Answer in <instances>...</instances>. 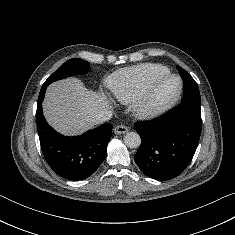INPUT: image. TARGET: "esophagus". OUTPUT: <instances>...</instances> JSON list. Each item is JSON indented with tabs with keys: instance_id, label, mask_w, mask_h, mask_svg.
<instances>
[{
	"instance_id": "1",
	"label": "esophagus",
	"mask_w": 235,
	"mask_h": 235,
	"mask_svg": "<svg viewBox=\"0 0 235 235\" xmlns=\"http://www.w3.org/2000/svg\"><path fill=\"white\" fill-rule=\"evenodd\" d=\"M129 130V128L125 125H117L115 128H114V133L115 134H125L127 133Z\"/></svg>"
}]
</instances>
